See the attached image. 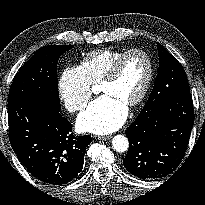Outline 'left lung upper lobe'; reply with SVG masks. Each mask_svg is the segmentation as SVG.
Here are the masks:
<instances>
[{
	"label": "left lung upper lobe",
	"instance_id": "5c2ea615",
	"mask_svg": "<svg viewBox=\"0 0 205 205\" xmlns=\"http://www.w3.org/2000/svg\"><path fill=\"white\" fill-rule=\"evenodd\" d=\"M159 68L153 90L142 110H153L173 95L190 93L181 64L158 42Z\"/></svg>",
	"mask_w": 205,
	"mask_h": 205
}]
</instances>
